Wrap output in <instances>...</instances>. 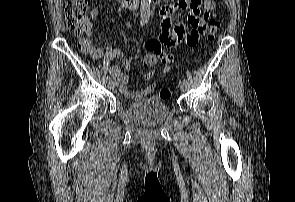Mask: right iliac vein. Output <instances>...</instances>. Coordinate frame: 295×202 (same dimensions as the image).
I'll return each mask as SVG.
<instances>
[{"label":"right iliac vein","instance_id":"obj_1","mask_svg":"<svg viewBox=\"0 0 295 202\" xmlns=\"http://www.w3.org/2000/svg\"><path fill=\"white\" fill-rule=\"evenodd\" d=\"M115 85H116V84H115L114 81H112V80L108 81V87H110V88H114Z\"/></svg>","mask_w":295,"mask_h":202}]
</instances>
